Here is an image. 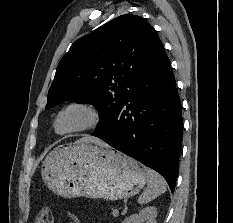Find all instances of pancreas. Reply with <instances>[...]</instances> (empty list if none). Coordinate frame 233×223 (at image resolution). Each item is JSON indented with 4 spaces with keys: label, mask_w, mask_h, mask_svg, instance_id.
I'll use <instances>...</instances> for the list:
<instances>
[{
    "label": "pancreas",
    "mask_w": 233,
    "mask_h": 223,
    "mask_svg": "<svg viewBox=\"0 0 233 223\" xmlns=\"http://www.w3.org/2000/svg\"><path fill=\"white\" fill-rule=\"evenodd\" d=\"M114 211H117V209H113V211H112V215H113Z\"/></svg>",
    "instance_id": "obj_1"
}]
</instances>
